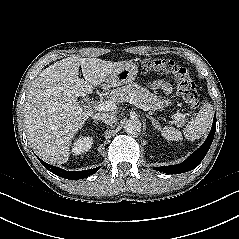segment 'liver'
<instances>
[{"instance_id":"obj_1","label":"liver","mask_w":239,"mask_h":239,"mask_svg":"<svg viewBox=\"0 0 239 239\" xmlns=\"http://www.w3.org/2000/svg\"><path fill=\"white\" fill-rule=\"evenodd\" d=\"M124 62L71 56L44 69L33 81L24 106L27 137L36 154L51 164L70 156L75 134L92 115L77 97L92 94ZM81 66L84 79L79 78Z\"/></svg>"}]
</instances>
